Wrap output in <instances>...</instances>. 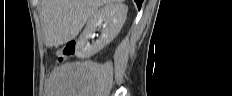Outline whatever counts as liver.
I'll use <instances>...</instances> for the list:
<instances>
[{"mask_svg":"<svg viewBox=\"0 0 232 96\" xmlns=\"http://www.w3.org/2000/svg\"><path fill=\"white\" fill-rule=\"evenodd\" d=\"M124 0H41L45 44L60 46L74 39L96 10Z\"/></svg>","mask_w":232,"mask_h":96,"instance_id":"6515ba94","label":"liver"}]
</instances>
